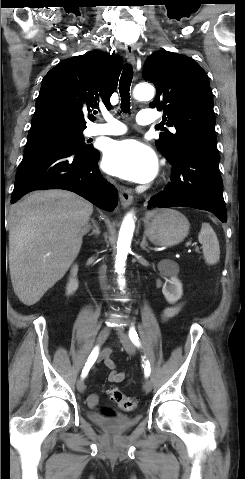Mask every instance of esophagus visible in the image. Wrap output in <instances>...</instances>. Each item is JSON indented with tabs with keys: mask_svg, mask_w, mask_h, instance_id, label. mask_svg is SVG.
I'll list each match as a JSON object with an SVG mask.
<instances>
[{
	"mask_svg": "<svg viewBox=\"0 0 245 479\" xmlns=\"http://www.w3.org/2000/svg\"><path fill=\"white\" fill-rule=\"evenodd\" d=\"M126 59L129 64H131L132 66H135L136 58H135L133 47L131 45H128L126 47ZM119 196H120L121 205L123 207H128L133 202V196L130 190L124 187L120 189Z\"/></svg>",
	"mask_w": 245,
	"mask_h": 479,
	"instance_id": "34e87169",
	"label": "esophagus"
}]
</instances>
